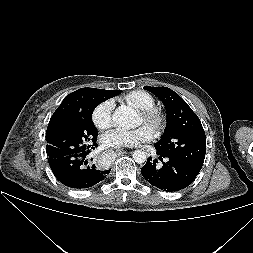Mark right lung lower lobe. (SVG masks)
<instances>
[{
  "label": "right lung lower lobe",
  "instance_id": "right-lung-lower-lobe-1",
  "mask_svg": "<svg viewBox=\"0 0 253 253\" xmlns=\"http://www.w3.org/2000/svg\"><path fill=\"white\" fill-rule=\"evenodd\" d=\"M97 147L96 141L89 149L60 158H49V165L58 181L67 187L85 189L104 180L111 169H101L90 159L91 150Z\"/></svg>",
  "mask_w": 253,
  "mask_h": 253
}]
</instances>
